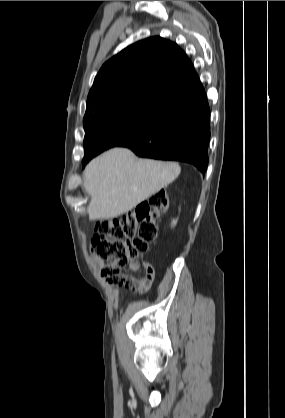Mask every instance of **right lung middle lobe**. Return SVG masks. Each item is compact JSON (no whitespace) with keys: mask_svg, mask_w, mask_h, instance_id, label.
<instances>
[{"mask_svg":"<svg viewBox=\"0 0 285 418\" xmlns=\"http://www.w3.org/2000/svg\"><path fill=\"white\" fill-rule=\"evenodd\" d=\"M168 109L157 103L133 100L107 105L85 116V155L82 163L138 135Z\"/></svg>","mask_w":285,"mask_h":418,"instance_id":"1","label":"right lung middle lobe"}]
</instances>
